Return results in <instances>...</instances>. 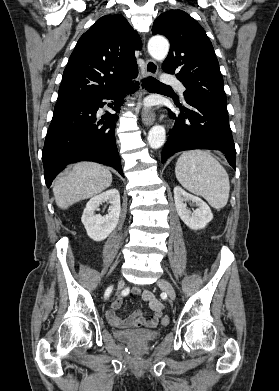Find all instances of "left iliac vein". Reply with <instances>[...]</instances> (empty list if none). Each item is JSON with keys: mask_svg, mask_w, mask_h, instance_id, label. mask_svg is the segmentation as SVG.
Segmentation results:
<instances>
[{"mask_svg": "<svg viewBox=\"0 0 279 391\" xmlns=\"http://www.w3.org/2000/svg\"><path fill=\"white\" fill-rule=\"evenodd\" d=\"M157 285L159 287H161L167 293L170 300H175V298H176L175 290H174L172 284L168 280H166L164 278H160L157 282Z\"/></svg>", "mask_w": 279, "mask_h": 391, "instance_id": "4c4485c4", "label": "left iliac vein"}]
</instances>
